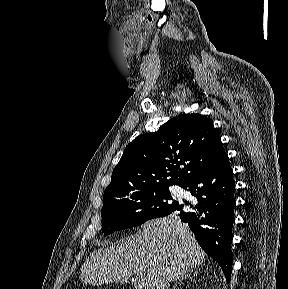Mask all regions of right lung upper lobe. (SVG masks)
Returning a JSON list of instances; mask_svg holds the SVG:
<instances>
[{
    "instance_id": "1",
    "label": "right lung upper lobe",
    "mask_w": 288,
    "mask_h": 289,
    "mask_svg": "<svg viewBox=\"0 0 288 289\" xmlns=\"http://www.w3.org/2000/svg\"><path fill=\"white\" fill-rule=\"evenodd\" d=\"M223 152L218 132L204 115L176 116L158 131L140 135L126 146L104 198L147 188L181 186Z\"/></svg>"
}]
</instances>
